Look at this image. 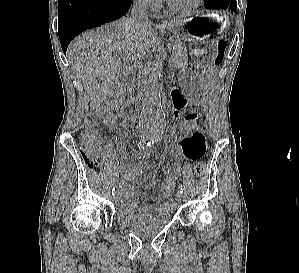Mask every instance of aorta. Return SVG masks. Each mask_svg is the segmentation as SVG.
<instances>
[{
	"label": "aorta",
	"instance_id": "obj_1",
	"mask_svg": "<svg viewBox=\"0 0 299 273\" xmlns=\"http://www.w3.org/2000/svg\"><path fill=\"white\" fill-rule=\"evenodd\" d=\"M160 69L151 62L141 78L143 108L139 127L142 140L154 141L164 132L166 120L159 91Z\"/></svg>",
	"mask_w": 299,
	"mask_h": 273
}]
</instances>
